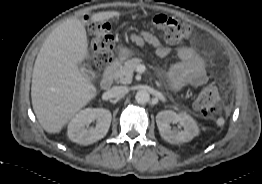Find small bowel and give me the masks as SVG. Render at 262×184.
I'll use <instances>...</instances> for the list:
<instances>
[{"label":"small bowel","mask_w":262,"mask_h":184,"mask_svg":"<svg viewBox=\"0 0 262 184\" xmlns=\"http://www.w3.org/2000/svg\"><path fill=\"white\" fill-rule=\"evenodd\" d=\"M130 40L139 46L149 45L153 47L156 54L165 58L171 49L148 31L141 30L130 35ZM179 62L169 71V78L176 89H181L187 85L200 87L208 84L209 76L206 65L202 57L191 47L181 45L176 48Z\"/></svg>","instance_id":"1"}]
</instances>
